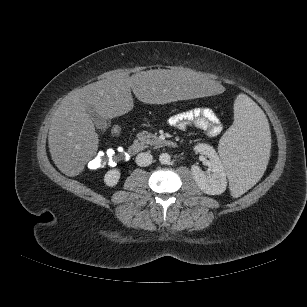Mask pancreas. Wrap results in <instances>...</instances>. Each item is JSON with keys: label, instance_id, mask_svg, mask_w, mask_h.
<instances>
[{"label": "pancreas", "instance_id": "cf45deb5", "mask_svg": "<svg viewBox=\"0 0 307 307\" xmlns=\"http://www.w3.org/2000/svg\"><path fill=\"white\" fill-rule=\"evenodd\" d=\"M141 144L143 147H147L148 145H159L161 144V140L154 134L149 133L147 131H142L137 134V140L135 143Z\"/></svg>", "mask_w": 307, "mask_h": 307}]
</instances>
